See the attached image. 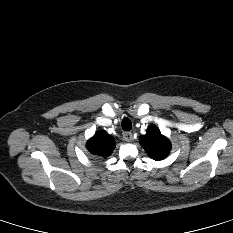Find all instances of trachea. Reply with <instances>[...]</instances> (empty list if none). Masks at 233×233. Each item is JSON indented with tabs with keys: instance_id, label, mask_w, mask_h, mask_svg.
Here are the masks:
<instances>
[{
	"instance_id": "1",
	"label": "trachea",
	"mask_w": 233,
	"mask_h": 233,
	"mask_svg": "<svg viewBox=\"0 0 233 233\" xmlns=\"http://www.w3.org/2000/svg\"><path fill=\"white\" fill-rule=\"evenodd\" d=\"M122 129L125 131H129L132 129V123L129 118H124L121 123Z\"/></svg>"
}]
</instances>
